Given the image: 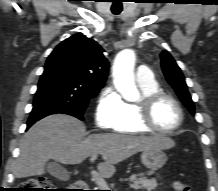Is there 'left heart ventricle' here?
<instances>
[{
	"label": "left heart ventricle",
	"mask_w": 218,
	"mask_h": 191,
	"mask_svg": "<svg viewBox=\"0 0 218 191\" xmlns=\"http://www.w3.org/2000/svg\"><path fill=\"white\" fill-rule=\"evenodd\" d=\"M153 119L159 128L171 129L179 122V112L170 100L161 99L154 107Z\"/></svg>",
	"instance_id": "b2bd125f"
}]
</instances>
